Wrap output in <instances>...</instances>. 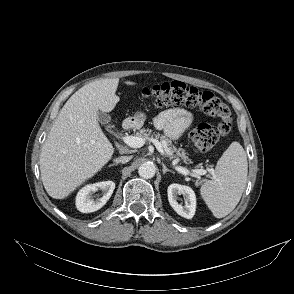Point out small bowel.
<instances>
[{"label":"small bowel","mask_w":294,"mask_h":294,"mask_svg":"<svg viewBox=\"0 0 294 294\" xmlns=\"http://www.w3.org/2000/svg\"><path fill=\"white\" fill-rule=\"evenodd\" d=\"M192 122V114L181 108L164 110L154 120L155 126L171 139L179 138Z\"/></svg>","instance_id":"1"}]
</instances>
